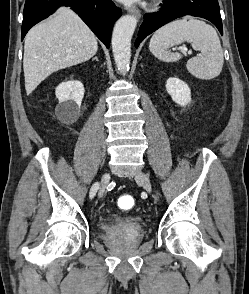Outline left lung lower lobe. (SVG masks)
<instances>
[{
	"instance_id": "left-lung-lower-lobe-1",
	"label": "left lung lower lobe",
	"mask_w": 249,
	"mask_h": 294,
	"mask_svg": "<svg viewBox=\"0 0 249 294\" xmlns=\"http://www.w3.org/2000/svg\"><path fill=\"white\" fill-rule=\"evenodd\" d=\"M160 11L146 14L135 41L137 48L149 34L166 23L185 16L193 15L211 21L223 35L222 21L218 0H164Z\"/></svg>"
}]
</instances>
